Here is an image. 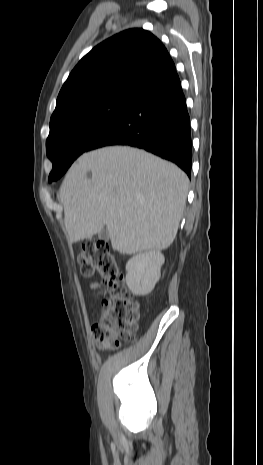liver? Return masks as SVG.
Masks as SVG:
<instances>
[{"instance_id": "obj_1", "label": "liver", "mask_w": 263, "mask_h": 465, "mask_svg": "<svg viewBox=\"0 0 263 465\" xmlns=\"http://www.w3.org/2000/svg\"><path fill=\"white\" fill-rule=\"evenodd\" d=\"M188 185L176 165L140 149L112 146L85 153L60 189L70 241L89 238L106 225L112 248L120 253L164 250L176 237Z\"/></svg>"}]
</instances>
